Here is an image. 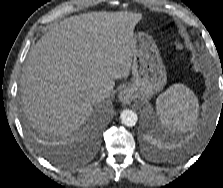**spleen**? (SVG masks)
Wrapping results in <instances>:
<instances>
[{
	"label": "spleen",
	"mask_w": 223,
	"mask_h": 188,
	"mask_svg": "<svg viewBox=\"0 0 223 188\" xmlns=\"http://www.w3.org/2000/svg\"><path fill=\"white\" fill-rule=\"evenodd\" d=\"M156 107L162 124L173 130H190L197 121V97L183 84H175L162 93Z\"/></svg>",
	"instance_id": "spleen-1"
}]
</instances>
